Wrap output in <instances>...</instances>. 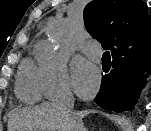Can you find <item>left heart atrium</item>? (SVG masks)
<instances>
[{"mask_svg":"<svg viewBox=\"0 0 151 131\" xmlns=\"http://www.w3.org/2000/svg\"><path fill=\"white\" fill-rule=\"evenodd\" d=\"M100 76L97 69L85 59H77L73 67V86L82 97L91 96L98 88Z\"/></svg>","mask_w":151,"mask_h":131,"instance_id":"left-heart-atrium-1","label":"left heart atrium"}]
</instances>
